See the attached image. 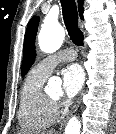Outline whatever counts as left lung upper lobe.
Instances as JSON below:
<instances>
[{
  "instance_id": "obj_1",
  "label": "left lung upper lobe",
  "mask_w": 116,
  "mask_h": 134,
  "mask_svg": "<svg viewBox=\"0 0 116 134\" xmlns=\"http://www.w3.org/2000/svg\"><path fill=\"white\" fill-rule=\"evenodd\" d=\"M39 23V17H33L27 26L24 40V56L23 64L21 69V75L24 76L29 71L30 67L33 65L35 50H34V41L37 33V27Z\"/></svg>"
}]
</instances>
